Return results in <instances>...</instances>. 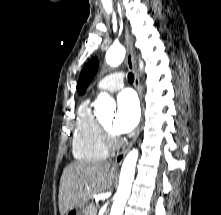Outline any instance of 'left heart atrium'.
<instances>
[{
  "label": "left heart atrium",
  "mask_w": 221,
  "mask_h": 215,
  "mask_svg": "<svg viewBox=\"0 0 221 215\" xmlns=\"http://www.w3.org/2000/svg\"><path fill=\"white\" fill-rule=\"evenodd\" d=\"M139 118L140 109L136 96L130 90L122 91L117 97L114 130L120 134L130 132L137 125Z\"/></svg>",
  "instance_id": "1"
}]
</instances>
